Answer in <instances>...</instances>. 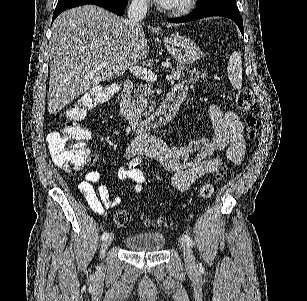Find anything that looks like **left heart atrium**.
<instances>
[{
	"instance_id": "39dd6f15",
	"label": "left heart atrium",
	"mask_w": 307,
	"mask_h": 301,
	"mask_svg": "<svg viewBox=\"0 0 307 301\" xmlns=\"http://www.w3.org/2000/svg\"><path fill=\"white\" fill-rule=\"evenodd\" d=\"M171 0H157L158 4H170ZM124 62H138V61H124Z\"/></svg>"
}]
</instances>
